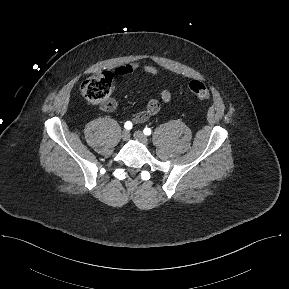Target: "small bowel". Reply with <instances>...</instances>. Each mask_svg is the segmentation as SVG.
<instances>
[{
    "mask_svg": "<svg viewBox=\"0 0 289 289\" xmlns=\"http://www.w3.org/2000/svg\"><path fill=\"white\" fill-rule=\"evenodd\" d=\"M141 68L142 72L148 75L156 76L158 70L152 65H146L141 67L140 63L135 62L126 66L118 68L115 73L118 76H127L133 74L137 69ZM171 92L167 89L160 90V99L163 103H169L171 101ZM160 110V102L158 100H150L145 109L136 113L132 117L134 123H143L155 116Z\"/></svg>",
    "mask_w": 289,
    "mask_h": 289,
    "instance_id": "small-bowel-1",
    "label": "small bowel"
}]
</instances>
